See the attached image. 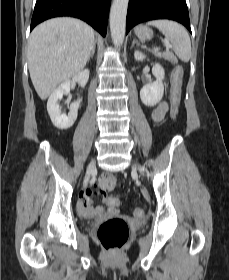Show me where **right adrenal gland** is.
<instances>
[{
  "instance_id": "obj_1",
  "label": "right adrenal gland",
  "mask_w": 229,
  "mask_h": 280,
  "mask_svg": "<svg viewBox=\"0 0 229 280\" xmlns=\"http://www.w3.org/2000/svg\"><path fill=\"white\" fill-rule=\"evenodd\" d=\"M95 49H96V43H94V46H93V48L90 52V55H89L88 60H87L88 62H89L90 58H92L94 56Z\"/></svg>"
}]
</instances>
